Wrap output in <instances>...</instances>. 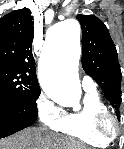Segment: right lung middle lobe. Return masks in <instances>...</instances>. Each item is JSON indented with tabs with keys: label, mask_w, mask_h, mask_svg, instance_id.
Here are the masks:
<instances>
[{
	"label": "right lung middle lobe",
	"mask_w": 124,
	"mask_h": 149,
	"mask_svg": "<svg viewBox=\"0 0 124 149\" xmlns=\"http://www.w3.org/2000/svg\"><path fill=\"white\" fill-rule=\"evenodd\" d=\"M39 95L40 87L36 80L19 70L0 66V96L21 101L29 109L37 111Z\"/></svg>",
	"instance_id": "1"
}]
</instances>
